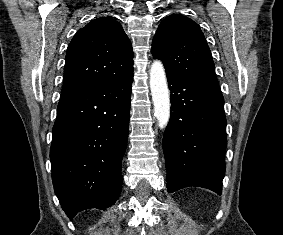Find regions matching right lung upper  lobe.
Listing matches in <instances>:
<instances>
[{"label": "right lung upper lobe", "mask_w": 283, "mask_h": 235, "mask_svg": "<svg viewBox=\"0 0 283 235\" xmlns=\"http://www.w3.org/2000/svg\"><path fill=\"white\" fill-rule=\"evenodd\" d=\"M131 73L132 45L122 26L109 17L94 19L77 31L67 48L61 97Z\"/></svg>", "instance_id": "cb5924a9"}]
</instances>
